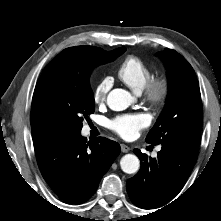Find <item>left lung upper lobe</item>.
Listing matches in <instances>:
<instances>
[{
    "instance_id": "obj_1",
    "label": "left lung upper lobe",
    "mask_w": 221,
    "mask_h": 221,
    "mask_svg": "<svg viewBox=\"0 0 221 221\" xmlns=\"http://www.w3.org/2000/svg\"><path fill=\"white\" fill-rule=\"evenodd\" d=\"M157 56L167 67L169 91L166 105L146 142L153 145L176 142L198 148L203 109L196 74L175 50L166 48Z\"/></svg>"
}]
</instances>
